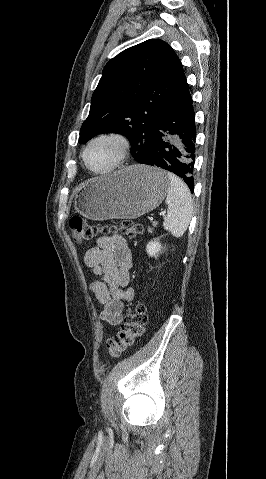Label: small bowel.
<instances>
[{
    "mask_svg": "<svg viewBox=\"0 0 266 479\" xmlns=\"http://www.w3.org/2000/svg\"><path fill=\"white\" fill-rule=\"evenodd\" d=\"M84 263L101 280L93 281L91 291L103 306L100 319L112 326L123 320L124 302L133 298L128 287L132 267V254L120 235L101 236L96 246L86 251Z\"/></svg>",
    "mask_w": 266,
    "mask_h": 479,
    "instance_id": "1",
    "label": "small bowel"
}]
</instances>
